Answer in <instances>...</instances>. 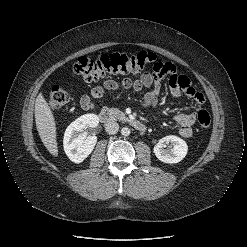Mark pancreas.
<instances>
[{
  "instance_id": "pancreas-1",
  "label": "pancreas",
  "mask_w": 247,
  "mask_h": 247,
  "mask_svg": "<svg viewBox=\"0 0 247 247\" xmlns=\"http://www.w3.org/2000/svg\"><path fill=\"white\" fill-rule=\"evenodd\" d=\"M111 112V118L115 120H124L126 118V115L124 112L120 111L117 108H112L110 110Z\"/></svg>"
}]
</instances>
